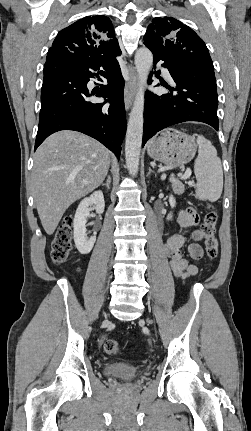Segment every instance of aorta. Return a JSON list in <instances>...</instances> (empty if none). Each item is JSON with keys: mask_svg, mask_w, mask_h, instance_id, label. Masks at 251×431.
Instances as JSON below:
<instances>
[{"mask_svg": "<svg viewBox=\"0 0 251 431\" xmlns=\"http://www.w3.org/2000/svg\"><path fill=\"white\" fill-rule=\"evenodd\" d=\"M153 62L151 51L145 47L135 53V67L138 74V89L129 115L125 141V160L129 173L135 176L139 169L140 151L143 137V112L145 102L144 87Z\"/></svg>", "mask_w": 251, "mask_h": 431, "instance_id": "762f6f07", "label": "aorta"}]
</instances>
